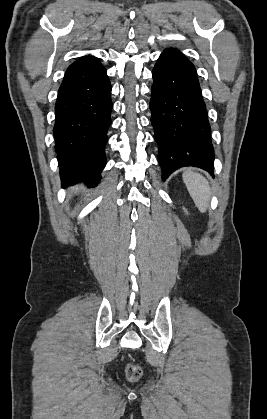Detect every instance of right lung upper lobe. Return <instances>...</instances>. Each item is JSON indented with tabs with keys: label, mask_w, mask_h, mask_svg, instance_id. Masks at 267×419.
I'll use <instances>...</instances> for the list:
<instances>
[{
	"label": "right lung upper lobe",
	"mask_w": 267,
	"mask_h": 419,
	"mask_svg": "<svg viewBox=\"0 0 267 419\" xmlns=\"http://www.w3.org/2000/svg\"><path fill=\"white\" fill-rule=\"evenodd\" d=\"M79 61H88V62H92V61H98V59H97L96 57H93V56H84V57H81V58L79 59Z\"/></svg>",
	"instance_id": "cb5924a9"
}]
</instances>
